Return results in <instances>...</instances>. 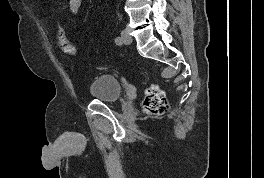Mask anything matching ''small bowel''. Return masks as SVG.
<instances>
[{
	"instance_id": "obj_1",
	"label": "small bowel",
	"mask_w": 264,
	"mask_h": 178,
	"mask_svg": "<svg viewBox=\"0 0 264 178\" xmlns=\"http://www.w3.org/2000/svg\"><path fill=\"white\" fill-rule=\"evenodd\" d=\"M82 0H68V6H69V11L73 15H77L80 7H81Z\"/></svg>"
}]
</instances>
